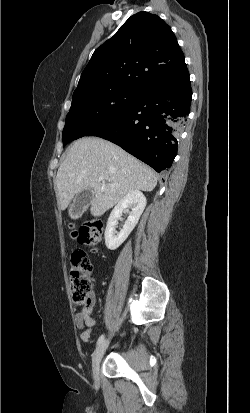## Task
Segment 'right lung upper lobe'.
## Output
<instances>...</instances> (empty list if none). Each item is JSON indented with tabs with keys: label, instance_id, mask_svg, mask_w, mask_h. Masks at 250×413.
Segmentation results:
<instances>
[{
	"label": "right lung upper lobe",
	"instance_id": "cb5924a9",
	"mask_svg": "<svg viewBox=\"0 0 250 413\" xmlns=\"http://www.w3.org/2000/svg\"><path fill=\"white\" fill-rule=\"evenodd\" d=\"M189 75L176 37L160 17L148 12L131 16L98 47L74 93L88 89L177 83Z\"/></svg>",
	"mask_w": 250,
	"mask_h": 413
}]
</instances>
